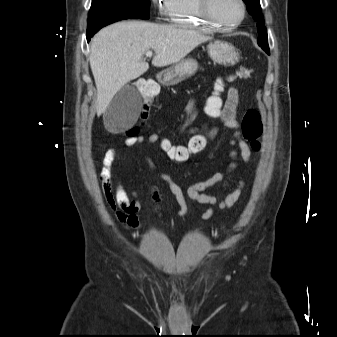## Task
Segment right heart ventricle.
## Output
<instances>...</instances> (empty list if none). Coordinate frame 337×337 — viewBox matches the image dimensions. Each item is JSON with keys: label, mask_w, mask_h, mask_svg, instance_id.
<instances>
[{"label": "right heart ventricle", "mask_w": 337, "mask_h": 337, "mask_svg": "<svg viewBox=\"0 0 337 337\" xmlns=\"http://www.w3.org/2000/svg\"><path fill=\"white\" fill-rule=\"evenodd\" d=\"M166 14L169 21L175 25L209 32L214 30L202 18L198 0H168Z\"/></svg>", "instance_id": "e07e8e85"}]
</instances>
